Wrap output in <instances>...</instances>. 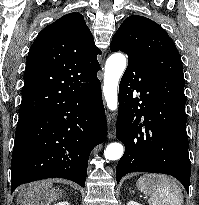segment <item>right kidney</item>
I'll return each mask as SVG.
<instances>
[{
    "label": "right kidney",
    "instance_id": "1",
    "mask_svg": "<svg viewBox=\"0 0 199 205\" xmlns=\"http://www.w3.org/2000/svg\"><path fill=\"white\" fill-rule=\"evenodd\" d=\"M54 205H70L68 202H59L57 204H54Z\"/></svg>",
    "mask_w": 199,
    "mask_h": 205
}]
</instances>
